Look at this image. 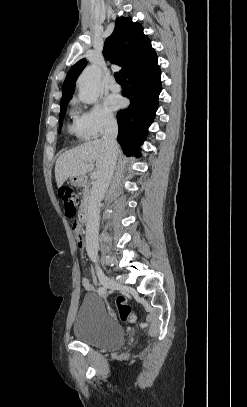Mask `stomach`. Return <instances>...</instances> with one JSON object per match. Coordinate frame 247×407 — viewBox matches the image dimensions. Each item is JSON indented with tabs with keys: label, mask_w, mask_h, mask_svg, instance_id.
Wrapping results in <instances>:
<instances>
[{
	"label": "stomach",
	"mask_w": 247,
	"mask_h": 407,
	"mask_svg": "<svg viewBox=\"0 0 247 407\" xmlns=\"http://www.w3.org/2000/svg\"><path fill=\"white\" fill-rule=\"evenodd\" d=\"M70 182L72 185L80 187L84 185L83 177H70Z\"/></svg>",
	"instance_id": "obj_1"
}]
</instances>
